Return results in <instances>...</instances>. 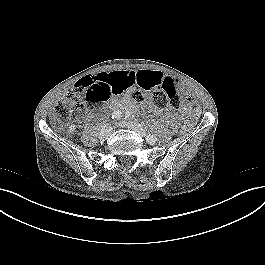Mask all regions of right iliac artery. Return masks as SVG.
Returning a JSON list of instances; mask_svg holds the SVG:
<instances>
[{
  "label": "right iliac artery",
  "instance_id": "1",
  "mask_svg": "<svg viewBox=\"0 0 265 265\" xmlns=\"http://www.w3.org/2000/svg\"><path fill=\"white\" fill-rule=\"evenodd\" d=\"M122 117V113L120 111H114L112 113V119H120Z\"/></svg>",
  "mask_w": 265,
  "mask_h": 265
}]
</instances>
